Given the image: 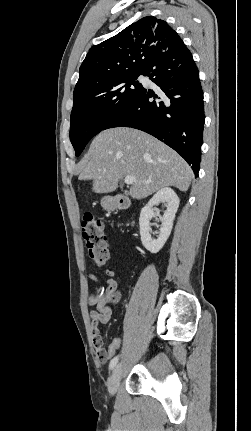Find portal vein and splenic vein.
I'll use <instances>...</instances> for the list:
<instances>
[{"instance_id": "portal-vein-and-splenic-vein-1", "label": "portal vein and splenic vein", "mask_w": 251, "mask_h": 431, "mask_svg": "<svg viewBox=\"0 0 251 431\" xmlns=\"http://www.w3.org/2000/svg\"><path fill=\"white\" fill-rule=\"evenodd\" d=\"M124 182L127 185L133 184L134 182H136V179L133 176H126L124 179ZM145 183H149V181L145 182Z\"/></svg>"}]
</instances>
